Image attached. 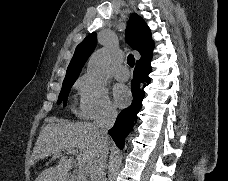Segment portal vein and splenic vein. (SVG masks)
<instances>
[{
    "instance_id": "obj_1",
    "label": "portal vein and splenic vein",
    "mask_w": 228,
    "mask_h": 181,
    "mask_svg": "<svg viewBox=\"0 0 228 181\" xmlns=\"http://www.w3.org/2000/svg\"><path fill=\"white\" fill-rule=\"evenodd\" d=\"M78 151H74V149H69L66 151V155H77ZM54 157H62V155H54ZM89 171L88 165H78V173H80V177H85Z\"/></svg>"
}]
</instances>
